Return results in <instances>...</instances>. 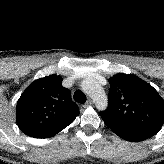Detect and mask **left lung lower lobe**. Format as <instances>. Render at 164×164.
<instances>
[{
  "label": "left lung lower lobe",
  "mask_w": 164,
  "mask_h": 164,
  "mask_svg": "<svg viewBox=\"0 0 164 164\" xmlns=\"http://www.w3.org/2000/svg\"><path fill=\"white\" fill-rule=\"evenodd\" d=\"M100 116L103 119V121L107 127H109L119 137H121L127 141L139 142V141L146 140L153 136V134H151L149 132L132 129V128H128V127L119 125L102 114H100Z\"/></svg>",
  "instance_id": "obj_1"
}]
</instances>
